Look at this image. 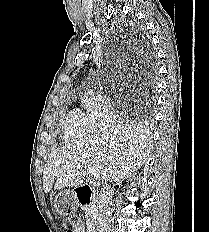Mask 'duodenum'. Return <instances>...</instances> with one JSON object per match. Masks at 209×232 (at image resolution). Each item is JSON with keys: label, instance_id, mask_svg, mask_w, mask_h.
I'll return each mask as SVG.
<instances>
[{"label": "duodenum", "instance_id": "obj_1", "mask_svg": "<svg viewBox=\"0 0 209 232\" xmlns=\"http://www.w3.org/2000/svg\"><path fill=\"white\" fill-rule=\"evenodd\" d=\"M75 193L78 199V202L81 206H86L91 203L93 199V191L90 186L80 185L76 187ZM87 232H96V228L94 226L90 227Z\"/></svg>", "mask_w": 209, "mask_h": 232}]
</instances>
